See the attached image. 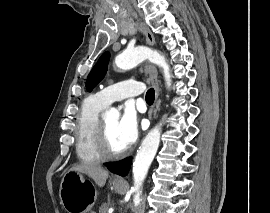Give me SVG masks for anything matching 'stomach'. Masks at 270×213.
Returning <instances> with one entry per match:
<instances>
[{
  "label": "stomach",
  "mask_w": 270,
  "mask_h": 213,
  "mask_svg": "<svg viewBox=\"0 0 270 213\" xmlns=\"http://www.w3.org/2000/svg\"><path fill=\"white\" fill-rule=\"evenodd\" d=\"M112 185L118 193H123L126 189L124 184L113 182ZM59 197L67 213H87L94 206L97 195L82 173L69 170L62 177Z\"/></svg>",
  "instance_id": "obj_1"
}]
</instances>
